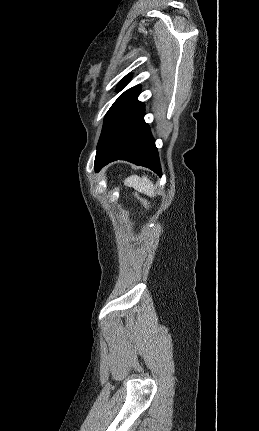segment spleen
<instances>
[{"mask_svg": "<svg viewBox=\"0 0 259 431\" xmlns=\"http://www.w3.org/2000/svg\"><path fill=\"white\" fill-rule=\"evenodd\" d=\"M124 184L128 187H133L136 191L149 197H154L155 195L153 183L147 176L139 177L137 175H131L124 180Z\"/></svg>", "mask_w": 259, "mask_h": 431, "instance_id": "spleen-1", "label": "spleen"}]
</instances>
